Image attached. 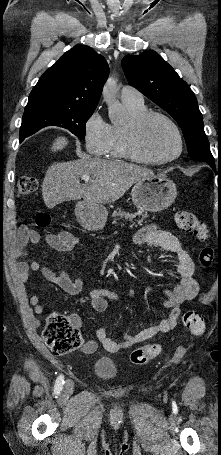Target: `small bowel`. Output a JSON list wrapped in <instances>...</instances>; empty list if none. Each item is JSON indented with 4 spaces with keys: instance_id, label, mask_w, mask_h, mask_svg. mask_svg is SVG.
Wrapping results in <instances>:
<instances>
[{
    "instance_id": "c3829d8e",
    "label": "small bowel",
    "mask_w": 221,
    "mask_h": 455,
    "mask_svg": "<svg viewBox=\"0 0 221 455\" xmlns=\"http://www.w3.org/2000/svg\"><path fill=\"white\" fill-rule=\"evenodd\" d=\"M19 243L17 245V268L22 282H27L29 276L40 271L44 278L51 284L57 285L69 295H76L82 289V281L79 278H72L67 272L58 273L53 269L41 266L38 262L27 263L24 258L27 256L28 244H36L40 241L41 235L36 230L27 226L19 229ZM46 242L55 250L60 252L73 251L79 244V239L67 231H60L56 234L45 236ZM133 242L137 245L158 246L176 255L178 265L176 274L177 284L171 289H165L166 300L165 308L167 315L158 323L145 328L138 333L125 335L122 341L111 339L104 326L98 328L96 332L97 341L89 340L82 346V352L86 354L94 353L98 343L108 352H118L128 349L136 344L151 339L157 335L164 334L173 330L182 313L183 304L193 300L199 292V284L194 278L195 264L188 252L181 246L179 239L171 232L156 226L141 229L134 237ZM132 291L129 292V296ZM91 305L96 312L103 313L108 306V300L119 301L117 294L105 289H92L88 292ZM30 303L37 314H42L45 308L40 303L37 295L30 297ZM76 327L81 326L78 316L70 317Z\"/></svg>"
}]
</instances>
